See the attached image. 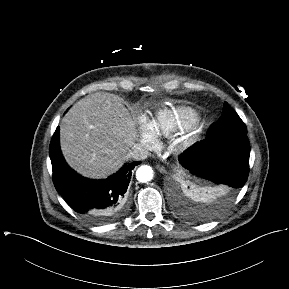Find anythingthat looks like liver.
<instances>
[{
  "label": "liver",
  "mask_w": 289,
  "mask_h": 289,
  "mask_svg": "<svg viewBox=\"0 0 289 289\" xmlns=\"http://www.w3.org/2000/svg\"><path fill=\"white\" fill-rule=\"evenodd\" d=\"M136 138V123L129 110L118 96L107 92L79 100L60 124V147L66 162L94 179L118 171Z\"/></svg>",
  "instance_id": "liver-1"
}]
</instances>
